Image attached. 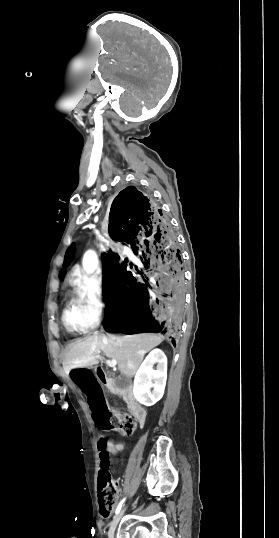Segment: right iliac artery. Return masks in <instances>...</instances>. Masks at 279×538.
I'll return each mask as SVG.
<instances>
[{"label": "right iliac artery", "instance_id": "82829eb1", "mask_svg": "<svg viewBox=\"0 0 279 538\" xmlns=\"http://www.w3.org/2000/svg\"><path fill=\"white\" fill-rule=\"evenodd\" d=\"M124 502H125V498L119 503L118 507L116 508V512H115L116 514L120 512Z\"/></svg>", "mask_w": 279, "mask_h": 538}]
</instances>
